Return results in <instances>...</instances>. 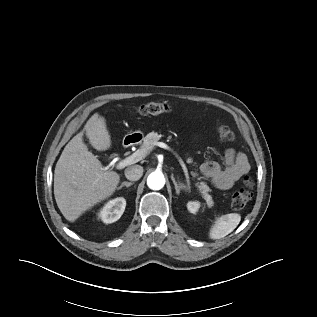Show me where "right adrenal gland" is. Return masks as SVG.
Instances as JSON below:
<instances>
[{
  "instance_id": "2a0ac1e0",
  "label": "right adrenal gland",
  "mask_w": 317,
  "mask_h": 317,
  "mask_svg": "<svg viewBox=\"0 0 317 317\" xmlns=\"http://www.w3.org/2000/svg\"><path fill=\"white\" fill-rule=\"evenodd\" d=\"M131 185H133L132 182H123L117 189L120 190L122 189L123 187H130Z\"/></svg>"
}]
</instances>
